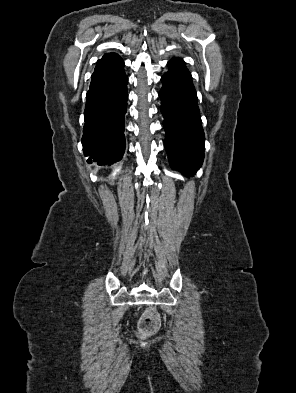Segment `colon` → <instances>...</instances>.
<instances>
[{"mask_svg":"<svg viewBox=\"0 0 296 393\" xmlns=\"http://www.w3.org/2000/svg\"><path fill=\"white\" fill-rule=\"evenodd\" d=\"M161 326L159 313L155 308H148L140 316L137 332L141 337H149L155 334Z\"/></svg>","mask_w":296,"mask_h":393,"instance_id":"5ec220e1","label":"colon"}]
</instances>
